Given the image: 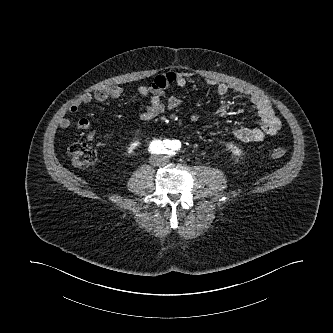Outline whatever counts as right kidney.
<instances>
[{
    "instance_id": "right-kidney-1",
    "label": "right kidney",
    "mask_w": 333,
    "mask_h": 333,
    "mask_svg": "<svg viewBox=\"0 0 333 333\" xmlns=\"http://www.w3.org/2000/svg\"><path fill=\"white\" fill-rule=\"evenodd\" d=\"M138 144H139L138 141H134V142H132V143L129 145L128 149H127V155H131V154L133 153L134 149H136V147L138 146Z\"/></svg>"
}]
</instances>
